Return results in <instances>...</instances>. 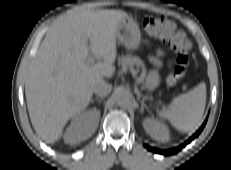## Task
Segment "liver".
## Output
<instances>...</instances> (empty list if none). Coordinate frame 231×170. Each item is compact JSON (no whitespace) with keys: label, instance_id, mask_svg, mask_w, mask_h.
Instances as JSON below:
<instances>
[{"label":"liver","instance_id":"obj_1","mask_svg":"<svg viewBox=\"0 0 231 170\" xmlns=\"http://www.w3.org/2000/svg\"><path fill=\"white\" fill-rule=\"evenodd\" d=\"M124 18V11L77 6L51 25L25 80L30 120L42 140L58 141L69 119L89 105L94 85L113 76L117 27ZM90 50L103 62L89 64Z\"/></svg>","mask_w":231,"mask_h":170}]
</instances>
